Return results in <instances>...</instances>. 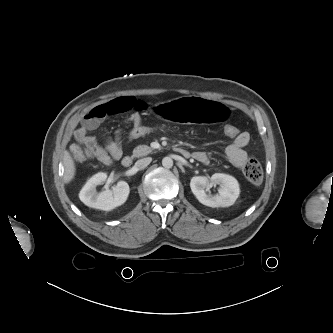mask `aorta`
I'll return each instance as SVG.
<instances>
[{"mask_svg": "<svg viewBox=\"0 0 333 333\" xmlns=\"http://www.w3.org/2000/svg\"><path fill=\"white\" fill-rule=\"evenodd\" d=\"M162 165H163V167L168 168V169L172 168V166H173L172 158L171 157H164L162 159Z\"/></svg>", "mask_w": 333, "mask_h": 333, "instance_id": "1", "label": "aorta"}]
</instances>
